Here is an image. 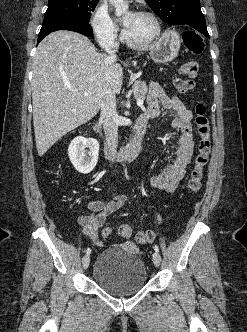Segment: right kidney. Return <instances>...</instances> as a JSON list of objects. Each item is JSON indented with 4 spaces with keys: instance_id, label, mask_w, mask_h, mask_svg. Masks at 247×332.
<instances>
[{
    "instance_id": "right-kidney-1",
    "label": "right kidney",
    "mask_w": 247,
    "mask_h": 332,
    "mask_svg": "<svg viewBox=\"0 0 247 332\" xmlns=\"http://www.w3.org/2000/svg\"><path fill=\"white\" fill-rule=\"evenodd\" d=\"M85 148H89L85 150ZM69 159L74 168L82 173H90L96 166L99 155V143L94 138L77 136L68 147Z\"/></svg>"
}]
</instances>
